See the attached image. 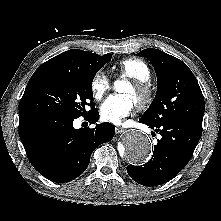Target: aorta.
<instances>
[{"mask_svg":"<svg viewBox=\"0 0 221 221\" xmlns=\"http://www.w3.org/2000/svg\"><path fill=\"white\" fill-rule=\"evenodd\" d=\"M123 81H116L114 89L119 88ZM122 156L131 164H144L152 154V145L150 138L138 130H131L125 134L123 139Z\"/></svg>","mask_w":221,"mask_h":221,"instance_id":"obj_1","label":"aorta"}]
</instances>
